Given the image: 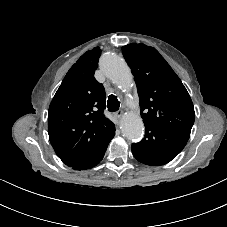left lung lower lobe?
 I'll return each mask as SVG.
<instances>
[{"mask_svg": "<svg viewBox=\"0 0 227 227\" xmlns=\"http://www.w3.org/2000/svg\"><path fill=\"white\" fill-rule=\"evenodd\" d=\"M187 140L155 126L145 125V137L131 146L134 157L141 163L160 166L174 159Z\"/></svg>", "mask_w": 227, "mask_h": 227, "instance_id": "obj_1", "label": "left lung lower lobe"}]
</instances>
